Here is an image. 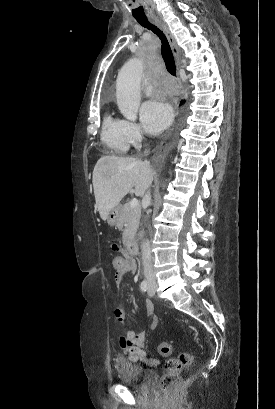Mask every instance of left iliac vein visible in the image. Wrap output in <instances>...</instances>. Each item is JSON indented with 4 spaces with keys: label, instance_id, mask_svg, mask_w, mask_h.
<instances>
[{
    "label": "left iliac vein",
    "instance_id": "4c4485c4",
    "mask_svg": "<svg viewBox=\"0 0 275 409\" xmlns=\"http://www.w3.org/2000/svg\"><path fill=\"white\" fill-rule=\"evenodd\" d=\"M155 292H156V284H155V283H151V284H150V287H149V289H148V295H149L150 297H153V296L155 295Z\"/></svg>",
    "mask_w": 275,
    "mask_h": 409
}]
</instances>
